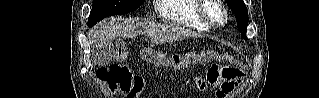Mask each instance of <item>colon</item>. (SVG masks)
Masks as SVG:
<instances>
[{"label":"colon","instance_id":"colon-1","mask_svg":"<svg viewBox=\"0 0 319 98\" xmlns=\"http://www.w3.org/2000/svg\"><path fill=\"white\" fill-rule=\"evenodd\" d=\"M127 54L126 46L120 43L116 48V59L124 61ZM141 56L155 67L175 69L214 60L215 62L210 65L206 73V83L210 87H220L216 92L217 98L227 97L228 94L235 91L242 81V69L234 64L227 63L225 57L212 50L187 51L167 55L162 51L145 48L141 51ZM97 77L111 91L122 92L128 98H134L144 86V81L140 76L133 75L126 67L118 64L100 69L97 72Z\"/></svg>","mask_w":319,"mask_h":98}]
</instances>
